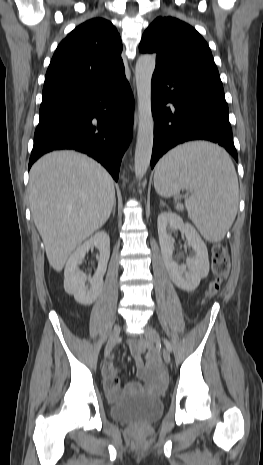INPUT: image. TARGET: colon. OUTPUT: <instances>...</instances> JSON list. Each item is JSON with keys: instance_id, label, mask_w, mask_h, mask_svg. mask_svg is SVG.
Returning a JSON list of instances; mask_svg holds the SVG:
<instances>
[{"instance_id": "colon-1", "label": "colon", "mask_w": 263, "mask_h": 465, "mask_svg": "<svg viewBox=\"0 0 263 465\" xmlns=\"http://www.w3.org/2000/svg\"><path fill=\"white\" fill-rule=\"evenodd\" d=\"M229 270L230 262L225 247L221 244L214 245L212 249L213 279L205 292L206 298H212L219 292L229 274Z\"/></svg>"}]
</instances>
